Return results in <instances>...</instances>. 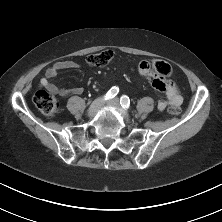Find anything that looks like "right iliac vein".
<instances>
[{
  "mask_svg": "<svg viewBox=\"0 0 222 222\" xmlns=\"http://www.w3.org/2000/svg\"><path fill=\"white\" fill-rule=\"evenodd\" d=\"M104 104V99L103 98H98L92 102L90 107L88 108L87 111V116L88 117H94L98 110L103 106Z\"/></svg>",
  "mask_w": 222,
  "mask_h": 222,
  "instance_id": "1",
  "label": "right iliac vein"
}]
</instances>
